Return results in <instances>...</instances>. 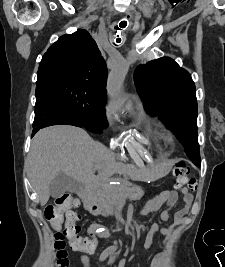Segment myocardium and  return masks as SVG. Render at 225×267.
<instances>
[{
	"instance_id": "obj_1",
	"label": "myocardium",
	"mask_w": 225,
	"mask_h": 267,
	"mask_svg": "<svg viewBox=\"0 0 225 267\" xmlns=\"http://www.w3.org/2000/svg\"><path fill=\"white\" fill-rule=\"evenodd\" d=\"M162 138L168 142V143H172L174 140V137L172 135V133L170 131H166L162 134Z\"/></svg>"
}]
</instances>
